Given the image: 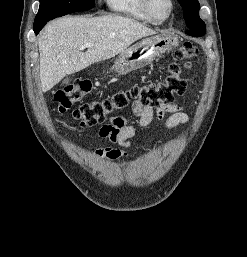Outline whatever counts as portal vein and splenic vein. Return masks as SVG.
Instances as JSON below:
<instances>
[{
  "label": "portal vein and splenic vein",
  "mask_w": 247,
  "mask_h": 257,
  "mask_svg": "<svg viewBox=\"0 0 247 257\" xmlns=\"http://www.w3.org/2000/svg\"><path fill=\"white\" fill-rule=\"evenodd\" d=\"M93 45H94L93 43H85V44L82 46V49H83V48L92 47Z\"/></svg>",
  "instance_id": "1"
}]
</instances>
